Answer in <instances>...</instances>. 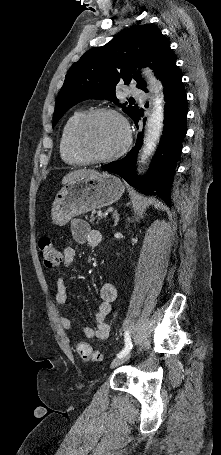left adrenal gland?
<instances>
[{
  "mask_svg": "<svg viewBox=\"0 0 221 455\" xmlns=\"http://www.w3.org/2000/svg\"><path fill=\"white\" fill-rule=\"evenodd\" d=\"M113 218H114V226H116L119 222V214H118L117 210L114 211Z\"/></svg>",
  "mask_w": 221,
  "mask_h": 455,
  "instance_id": "obj_1",
  "label": "left adrenal gland"
}]
</instances>
